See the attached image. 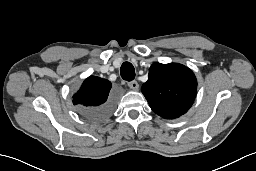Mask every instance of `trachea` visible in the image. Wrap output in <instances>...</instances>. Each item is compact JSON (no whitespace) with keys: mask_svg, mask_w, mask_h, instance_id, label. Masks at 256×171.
<instances>
[{"mask_svg":"<svg viewBox=\"0 0 256 171\" xmlns=\"http://www.w3.org/2000/svg\"><path fill=\"white\" fill-rule=\"evenodd\" d=\"M121 77L126 81H132L135 78V69L130 62H124L120 68Z\"/></svg>","mask_w":256,"mask_h":171,"instance_id":"obj_1","label":"trachea"}]
</instances>
